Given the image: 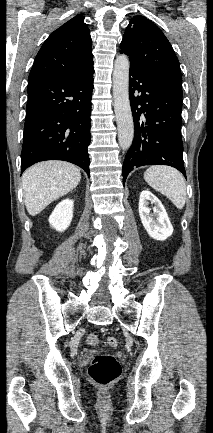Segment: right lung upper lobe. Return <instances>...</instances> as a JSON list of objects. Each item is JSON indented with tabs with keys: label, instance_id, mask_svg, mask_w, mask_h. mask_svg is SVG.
<instances>
[{
	"label": "right lung upper lobe",
	"instance_id": "1",
	"mask_svg": "<svg viewBox=\"0 0 213 433\" xmlns=\"http://www.w3.org/2000/svg\"><path fill=\"white\" fill-rule=\"evenodd\" d=\"M76 15L51 33L39 50L29 80L63 79L93 65L90 30Z\"/></svg>",
	"mask_w": 213,
	"mask_h": 433
}]
</instances>
